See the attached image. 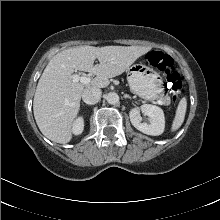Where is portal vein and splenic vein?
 I'll use <instances>...</instances> for the list:
<instances>
[{
	"mask_svg": "<svg viewBox=\"0 0 220 220\" xmlns=\"http://www.w3.org/2000/svg\"><path fill=\"white\" fill-rule=\"evenodd\" d=\"M72 79H73V82H81L83 84H89L91 82V78L90 77L79 76L77 74L73 75ZM157 104L163 105L164 102L162 100H157Z\"/></svg>",
	"mask_w": 220,
	"mask_h": 220,
	"instance_id": "18ae733b",
	"label": "portal vein and splenic vein"
}]
</instances>
